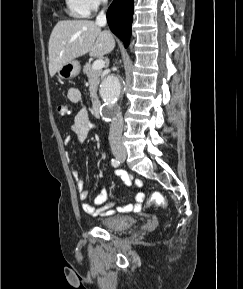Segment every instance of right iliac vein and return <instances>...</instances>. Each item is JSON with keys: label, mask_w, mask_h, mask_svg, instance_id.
Here are the masks:
<instances>
[{"label": "right iliac vein", "mask_w": 243, "mask_h": 289, "mask_svg": "<svg viewBox=\"0 0 243 289\" xmlns=\"http://www.w3.org/2000/svg\"><path fill=\"white\" fill-rule=\"evenodd\" d=\"M116 158L119 160H124L126 158V152H118L116 153Z\"/></svg>", "instance_id": "right-iliac-vein-1"}]
</instances>
